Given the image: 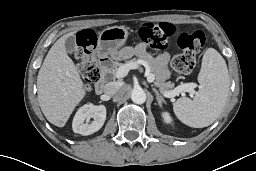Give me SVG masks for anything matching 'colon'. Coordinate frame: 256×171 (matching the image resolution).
Here are the masks:
<instances>
[{
    "mask_svg": "<svg viewBox=\"0 0 256 171\" xmlns=\"http://www.w3.org/2000/svg\"><path fill=\"white\" fill-rule=\"evenodd\" d=\"M176 27L168 22L142 23L139 27V37L150 48L164 49L175 36ZM96 37L92 30L79 32L76 39V55L80 59L79 71L84 79L87 90H91L100 78V69L93 57ZM205 43V34L200 30L180 33L177 44L181 53L175 55L171 66L179 74H190L196 65L197 54Z\"/></svg>",
    "mask_w": 256,
    "mask_h": 171,
    "instance_id": "obj_1",
    "label": "colon"
}]
</instances>
